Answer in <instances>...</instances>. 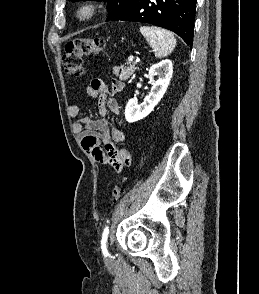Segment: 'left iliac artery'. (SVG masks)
I'll list each match as a JSON object with an SVG mask.
<instances>
[{
  "label": "left iliac artery",
  "mask_w": 259,
  "mask_h": 294,
  "mask_svg": "<svg viewBox=\"0 0 259 294\" xmlns=\"http://www.w3.org/2000/svg\"><path fill=\"white\" fill-rule=\"evenodd\" d=\"M108 235H109V226H106L102 233V239H101V248L104 254H108L107 245H106Z\"/></svg>",
  "instance_id": "left-iliac-artery-1"
}]
</instances>
